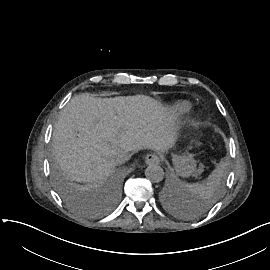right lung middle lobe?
<instances>
[{
	"mask_svg": "<svg viewBox=\"0 0 270 270\" xmlns=\"http://www.w3.org/2000/svg\"><path fill=\"white\" fill-rule=\"evenodd\" d=\"M56 185L59 190V193L70 206L77 209L81 208L80 205L76 202V200L72 197V195L68 192L65 186V182L60 177L56 178ZM81 210L87 211L83 208H81Z\"/></svg>",
	"mask_w": 270,
	"mask_h": 270,
	"instance_id": "right-lung-middle-lobe-1",
	"label": "right lung middle lobe"
}]
</instances>
